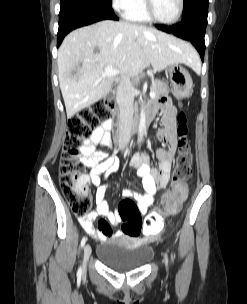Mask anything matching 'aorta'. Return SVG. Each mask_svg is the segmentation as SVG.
Segmentation results:
<instances>
[{
	"mask_svg": "<svg viewBox=\"0 0 247 304\" xmlns=\"http://www.w3.org/2000/svg\"><path fill=\"white\" fill-rule=\"evenodd\" d=\"M145 130H146V115L144 109L142 108L140 113V123L138 129V143H141Z\"/></svg>",
	"mask_w": 247,
	"mask_h": 304,
	"instance_id": "obj_1",
	"label": "aorta"
}]
</instances>
